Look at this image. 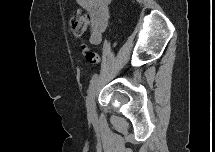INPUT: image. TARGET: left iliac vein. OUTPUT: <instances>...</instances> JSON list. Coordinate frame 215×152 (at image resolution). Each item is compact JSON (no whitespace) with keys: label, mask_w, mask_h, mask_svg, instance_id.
I'll use <instances>...</instances> for the list:
<instances>
[{"label":"left iliac vein","mask_w":215,"mask_h":152,"mask_svg":"<svg viewBox=\"0 0 215 152\" xmlns=\"http://www.w3.org/2000/svg\"><path fill=\"white\" fill-rule=\"evenodd\" d=\"M97 86H98V81H96L93 85H91L90 91L87 97V101H86L88 116L91 119L96 117L95 94H96Z\"/></svg>","instance_id":"obj_1"}]
</instances>
